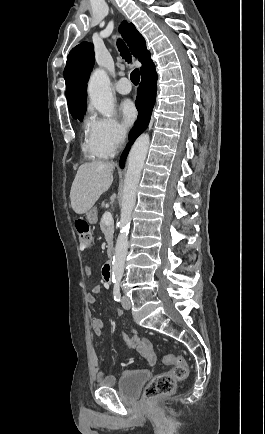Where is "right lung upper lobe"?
<instances>
[{
	"label": "right lung upper lobe",
	"mask_w": 265,
	"mask_h": 434,
	"mask_svg": "<svg viewBox=\"0 0 265 434\" xmlns=\"http://www.w3.org/2000/svg\"><path fill=\"white\" fill-rule=\"evenodd\" d=\"M123 24L119 30L127 41L134 57L138 58L141 62L150 59V53L146 48V42L142 35L132 23L127 24L123 22ZM93 65L94 51L91 43L83 42L70 51L64 70L68 104L86 101V84Z\"/></svg>",
	"instance_id": "cb5924a9"
}]
</instances>
